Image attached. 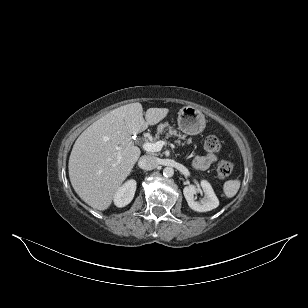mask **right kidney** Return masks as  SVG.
I'll use <instances>...</instances> for the list:
<instances>
[{"mask_svg": "<svg viewBox=\"0 0 308 308\" xmlns=\"http://www.w3.org/2000/svg\"><path fill=\"white\" fill-rule=\"evenodd\" d=\"M136 191V181H127L120 189L116 192L114 196V203L117 207H124L128 205L135 194Z\"/></svg>", "mask_w": 308, "mask_h": 308, "instance_id": "obj_1", "label": "right kidney"}]
</instances>
